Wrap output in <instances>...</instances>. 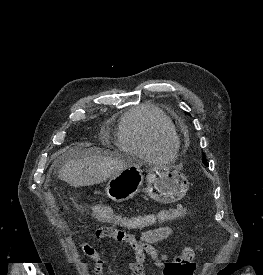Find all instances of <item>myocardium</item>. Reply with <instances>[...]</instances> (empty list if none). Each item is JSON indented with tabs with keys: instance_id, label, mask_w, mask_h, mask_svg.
Listing matches in <instances>:
<instances>
[{
	"instance_id": "obj_1",
	"label": "myocardium",
	"mask_w": 263,
	"mask_h": 275,
	"mask_svg": "<svg viewBox=\"0 0 263 275\" xmlns=\"http://www.w3.org/2000/svg\"><path fill=\"white\" fill-rule=\"evenodd\" d=\"M161 137H162L163 139H165V138H166V136H165V135H162Z\"/></svg>"
}]
</instances>
